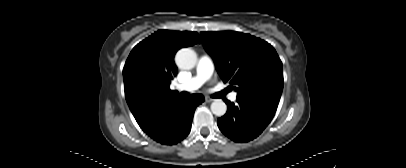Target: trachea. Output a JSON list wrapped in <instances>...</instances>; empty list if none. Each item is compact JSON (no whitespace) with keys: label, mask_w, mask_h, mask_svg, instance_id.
Returning <instances> with one entry per match:
<instances>
[{"label":"trachea","mask_w":406,"mask_h":168,"mask_svg":"<svg viewBox=\"0 0 406 168\" xmlns=\"http://www.w3.org/2000/svg\"><path fill=\"white\" fill-rule=\"evenodd\" d=\"M227 92H228V89H225L224 91L219 93V96L221 97V96L225 95Z\"/></svg>","instance_id":"1"}]
</instances>
